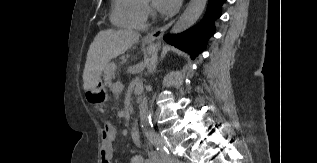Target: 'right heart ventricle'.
<instances>
[{"mask_svg":"<svg viewBox=\"0 0 317 163\" xmlns=\"http://www.w3.org/2000/svg\"><path fill=\"white\" fill-rule=\"evenodd\" d=\"M111 21L120 28L144 29L147 24L144 0H112Z\"/></svg>","mask_w":317,"mask_h":163,"instance_id":"e07e8e85","label":"right heart ventricle"}]
</instances>
